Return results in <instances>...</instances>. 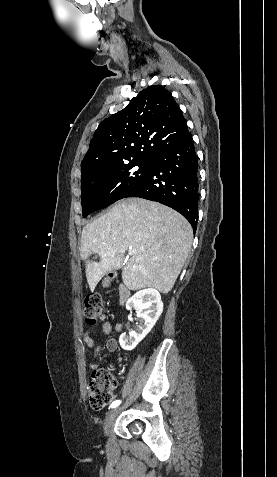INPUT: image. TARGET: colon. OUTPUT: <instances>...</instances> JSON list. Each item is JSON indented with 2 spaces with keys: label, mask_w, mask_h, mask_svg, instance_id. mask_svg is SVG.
<instances>
[{
  "label": "colon",
  "mask_w": 277,
  "mask_h": 477,
  "mask_svg": "<svg viewBox=\"0 0 277 477\" xmlns=\"http://www.w3.org/2000/svg\"><path fill=\"white\" fill-rule=\"evenodd\" d=\"M84 320L89 326H95L106 316V310L99 295H89L85 300ZM117 382L110 368L95 369L88 384V399L96 410L104 408L111 400Z\"/></svg>",
  "instance_id": "5ec220e1"
}]
</instances>
